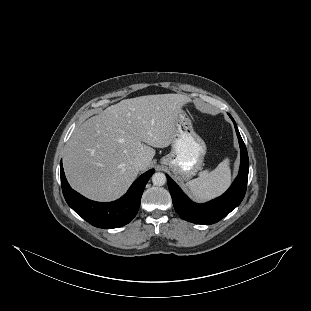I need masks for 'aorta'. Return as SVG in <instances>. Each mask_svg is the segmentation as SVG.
Segmentation results:
<instances>
[{
	"mask_svg": "<svg viewBox=\"0 0 311 311\" xmlns=\"http://www.w3.org/2000/svg\"><path fill=\"white\" fill-rule=\"evenodd\" d=\"M167 182L166 175L162 172H156L152 175V183L156 186H163Z\"/></svg>",
	"mask_w": 311,
	"mask_h": 311,
	"instance_id": "obj_1",
	"label": "aorta"
}]
</instances>
